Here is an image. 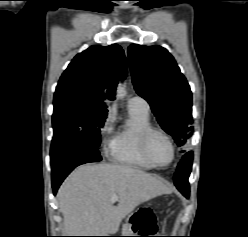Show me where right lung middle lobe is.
I'll use <instances>...</instances> for the list:
<instances>
[{
    "instance_id": "1",
    "label": "right lung middle lobe",
    "mask_w": 248,
    "mask_h": 237,
    "mask_svg": "<svg viewBox=\"0 0 248 237\" xmlns=\"http://www.w3.org/2000/svg\"><path fill=\"white\" fill-rule=\"evenodd\" d=\"M106 115L73 102L54 103L52 144L89 145L97 149Z\"/></svg>"
}]
</instances>
